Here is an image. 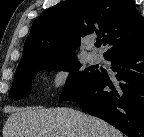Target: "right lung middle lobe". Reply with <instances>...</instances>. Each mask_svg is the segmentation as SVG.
Returning <instances> with one entry per match:
<instances>
[{"instance_id": "right-lung-middle-lobe-1", "label": "right lung middle lobe", "mask_w": 144, "mask_h": 137, "mask_svg": "<svg viewBox=\"0 0 144 137\" xmlns=\"http://www.w3.org/2000/svg\"><path fill=\"white\" fill-rule=\"evenodd\" d=\"M48 68L70 71L65 89L60 97V100L65 101H74L79 98L98 74V71L95 70H82L75 56L34 60L18 66L9 96L15 100L25 97L30 91L31 79L38 71Z\"/></svg>"}]
</instances>
